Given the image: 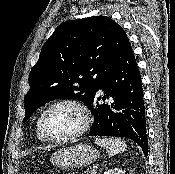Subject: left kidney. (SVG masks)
I'll return each instance as SVG.
<instances>
[{
	"instance_id": "obj_1",
	"label": "left kidney",
	"mask_w": 175,
	"mask_h": 174,
	"mask_svg": "<svg viewBox=\"0 0 175 174\" xmlns=\"http://www.w3.org/2000/svg\"><path fill=\"white\" fill-rule=\"evenodd\" d=\"M104 174H125V171L119 168H113L107 170L106 172H104Z\"/></svg>"
}]
</instances>
